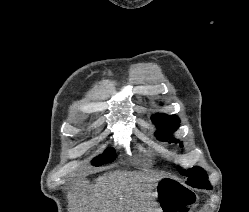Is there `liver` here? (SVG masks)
Segmentation results:
<instances>
[{
  "label": "liver",
  "instance_id": "liver-1",
  "mask_svg": "<svg viewBox=\"0 0 249 212\" xmlns=\"http://www.w3.org/2000/svg\"><path fill=\"white\" fill-rule=\"evenodd\" d=\"M153 178H148L147 174H136V172H110L104 174L96 180L93 190L95 200L93 206H97L100 212H119L121 206L115 202V196L122 198L123 194H129L135 188L137 182H150ZM77 186H84V184H77ZM82 204L79 208L80 212H87L86 200L78 202ZM73 210V208H71Z\"/></svg>",
  "mask_w": 249,
  "mask_h": 212
}]
</instances>
